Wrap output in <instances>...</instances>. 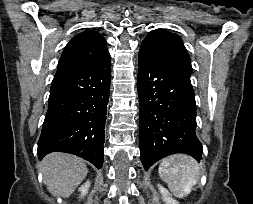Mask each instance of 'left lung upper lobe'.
I'll list each match as a JSON object with an SVG mask.
<instances>
[{
	"mask_svg": "<svg viewBox=\"0 0 253 204\" xmlns=\"http://www.w3.org/2000/svg\"><path fill=\"white\" fill-rule=\"evenodd\" d=\"M140 51L176 66L188 75L192 74L189 54L177 34L164 29L153 30L142 42Z\"/></svg>",
	"mask_w": 253,
	"mask_h": 204,
	"instance_id": "5c2ea615",
	"label": "left lung upper lobe"
}]
</instances>
